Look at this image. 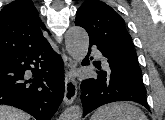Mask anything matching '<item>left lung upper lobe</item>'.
Returning <instances> with one entry per match:
<instances>
[{"instance_id":"obj_1","label":"left lung upper lobe","mask_w":165,"mask_h":120,"mask_svg":"<svg viewBox=\"0 0 165 120\" xmlns=\"http://www.w3.org/2000/svg\"><path fill=\"white\" fill-rule=\"evenodd\" d=\"M75 24L88 32L90 41L111 52L122 66L142 77L125 22L110 6L98 0L85 1L77 10Z\"/></svg>"}]
</instances>
